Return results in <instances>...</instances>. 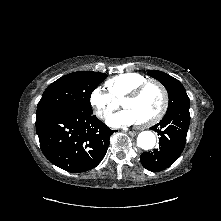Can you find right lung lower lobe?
Masks as SVG:
<instances>
[{"mask_svg":"<svg viewBox=\"0 0 221 221\" xmlns=\"http://www.w3.org/2000/svg\"><path fill=\"white\" fill-rule=\"evenodd\" d=\"M36 132L50 162L79 173L101 162L114 131L90 112L66 108L36 118Z\"/></svg>","mask_w":221,"mask_h":221,"instance_id":"obj_1","label":"right lung lower lobe"}]
</instances>
